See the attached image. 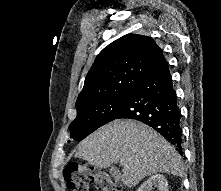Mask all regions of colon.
I'll list each match as a JSON object with an SVG mask.
<instances>
[{
    "label": "colon",
    "mask_w": 221,
    "mask_h": 191,
    "mask_svg": "<svg viewBox=\"0 0 221 191\" xmlns=\"http://www.w3.org/2000/svg\"><path fill=\"white\" fill-rule=\"evenodd\" d=\"M64 179L70 191H89V182L94 183L98 191H122L121 184L108 173L76 162L66 166Z\"/></svg>",
    "instance_id": "obj_1"
}]
</instances>
